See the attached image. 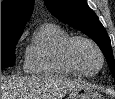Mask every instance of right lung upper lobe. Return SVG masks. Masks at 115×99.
<instances>
[{
	"label": "right lung upper lobe",
	"instance_id": "right-lung-upper-lobe-1",
	"mask_svg": "<svg viewBox=\"0 0 115 99\" xmlns=\"http://www.w3.org/2000/svg\"><path fill=\"white\" fill-rule=\"evenodd\" d=\"M33 6L34 0H4L1 3V35L22 34Z\"/></svg>",
	"mask_w": 115,
	"mask_h": 99
}]
</instances>
